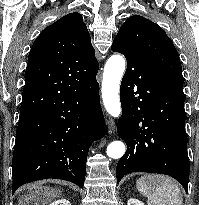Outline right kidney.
<instances>
[{"instance_id": "obj_1", "label": "right kidney", "mask_w": 199, "mask_h": 205, "mask_svg": "<svg viewBox=\"0 0 199 205\" xmlns=\"http://www.w3.org/2000/svg\"><path fill=\"white\" fill-rule=\"evenodd\" d=\"M49 205H71L70 202L66 199H60V200H56L54 202H52Z\"/></svg>"}]
</instances>
